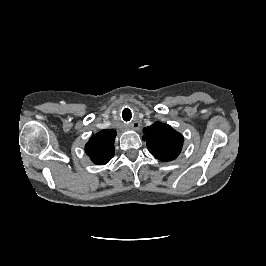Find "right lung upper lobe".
I'll list each match as a JSON object with an SVG mask.
<instances>
[{"instance_id":"1","label":"right lung upper lobe","mask_w":266,"mask_h":266,"mask_svg":"<svg viewBox=\"0 0 266 266\" xmlns=\"http://www.w3.org/2000/svg\"><path fill=\"white\" fill-rule=\"evenodd\" d=\"M116 131L101 130L94 134L85 145V152L97 165L108 163L114 156V140Z\"/></svg>"}]
</instances>
